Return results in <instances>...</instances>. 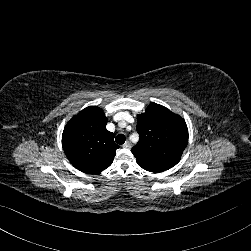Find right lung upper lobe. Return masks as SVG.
<instances>
[{
  "label": "right lung upper lobe",
  "mask_w": 251,
  "mask_h": 251,
  "mask_svg": "<svg viewBox=\"0 0 251 251\" xmlns=\"http://www.w3.org/2000/svg\"><path fill=\"white\" fill-rule=\"evenodd\" d=\"M107 118L101 108L89 106L75 115L62 134L63 150L81 172L95 174L108 168L119 148L114 134L106 129Z\"/></svg>",
  "instance_id": "obj_1"
}]
</instances>
